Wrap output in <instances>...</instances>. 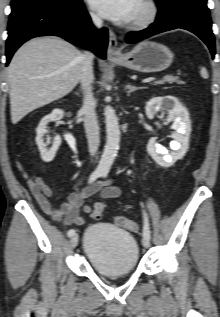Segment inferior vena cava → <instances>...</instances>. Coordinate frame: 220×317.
Wrapping results in <instances>:
<instances>
[{"label":"inferior vena cava","mask_w":220,"mask_h":317,"mask_svg":"<svg viewBox=\"0 0 220 317\" xmlns=\"http://www.w3.org/2000/svg\"><path fill=\"white\" fill-rule=\"evenodd\" d=\"M92 21L97 28H101L102 19L92 15ZM93 53L87 51L82 55L83 64L80 74V83L84 91L82 113L84 115V127L88 140V148L91 156H95L99 147V126L97 122L95 107L96 102L92 93L93 74Z\"/></svg>","instance_id":"1"}]
</instances>
